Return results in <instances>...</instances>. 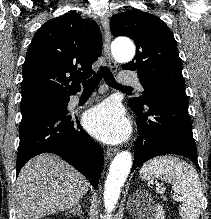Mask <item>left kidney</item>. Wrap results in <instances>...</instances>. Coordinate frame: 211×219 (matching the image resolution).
Returning a JSON list of instances; mask_svg holds the SVG:
<instances>
[{"instance_id":"5707ae66","label":"left kidney","mask_w":211,"mask_h":219,"mask_svg":"<svg viewBox=\"0 0 211 219\" xmlns=\"http://www.w3.org/2000/svg\"><path fill=\"white\" fill-rule=\"evenodd\" d=\"M147 219H165L163 207L160 204L155 205Z\"/></svg>"}]
</instances>
